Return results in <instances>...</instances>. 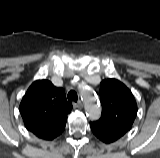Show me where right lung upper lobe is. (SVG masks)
I'll list each match as a JSON object with an SVG mask.
<instances>
[{
	"instance_id": "cb5924a9",
	"label": "right lung upper lobe",
	"mask_w": 160,
	"mask_h": 158,
	"mask_svg": "<svg viewBox=\"0 0 160 158\" xmlns=\"http://www.w3.org/2000/svg\"><path fill=\"white\" fill-rule=\"evenodd\" d=\"M71 109L64 90L45 79L28 88L19 107L26 129L44 140H53L64 131Z\"/></svg>"
}]
</instances>
